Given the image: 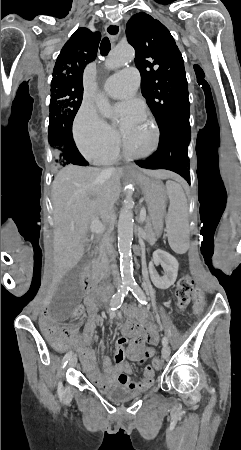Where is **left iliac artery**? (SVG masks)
Here are the masks:
<instances>
[{
  "label": "left iliac artery",
  "mask_w": 241,
  "mask_h": 450,
  "mask_svg": "<svg viewBox=\"0 0 241 450\" xmlns=\"http://www.w3.org/2000/svg\"><path fill=\"white\" fill-rule=\"evenodd\" d=\"M130 291L134 295V297L141 303V304H147L146 302V296L143 292V290L138 285H132L130 287ZM162 344L165 346L168 344V339L166 337H163Z\"/></svg>",
  "instance_id": "obj_1"
}]
</instances>
